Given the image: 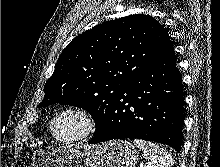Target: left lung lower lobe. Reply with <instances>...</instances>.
<instances>
[{
	"instance_id": "left-lung-lower-lobe-1",
	"label": "left lung lower lobe",
	"mask_w": 220,
	"mask_h": 167,
	"mask_svg": "<svg viewBox=\"0 0 220 167\" xmlns=\"http://www.w3.org/2000/svg\"><path fill=\"white\" fill-rule=\"evenodd\" d=\"M183 105L182 81L173 52L125 85L89 144L137 138L164 143L180 152Z\"/></svg>"
}]
</instances>
